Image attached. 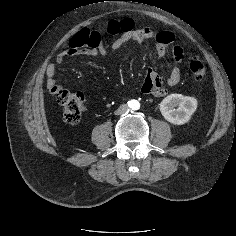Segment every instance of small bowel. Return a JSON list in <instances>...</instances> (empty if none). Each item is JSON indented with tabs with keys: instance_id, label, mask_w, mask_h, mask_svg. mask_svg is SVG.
I'll use <instances>...</instances> for the list:
<instances>
[{
	"instance_id": "obj_1",
	"label": "small bowel",
	"mask_w": 236,
	"mask_h": 236,
	"mask_svg": "<svg viewBox=\"0 0 236 236\" xmlns=\"http://www.w3.org/2000/svg\"><path fill=\"white\" fill-rule=\"evenodd\" d=\"M106 31L115 36L110 45L103 42L102 35L97 30L84 28L77 32L68 42V47L56 56V63L61 64L68 57L73 56H96L98 54L106 56L109 53L120 49L127 42L133 41L139 44L148 40L154 41L155 52L158 56L163 57L169 47H172V55L177 64H181L186 56L185 49L182 45L175 43L174 35L168 31L153 32L150 28H135L131 19L121 21L110 20L106 24ZM57 72L56 64H49L46 68V86L49 92L56 95L62 88L55 79ZM181 70L174 66L167 79V86H175L181 80ZM141 92L148 95L164 96L167 89L163 80L154 71L147 72L142 84Z\"/></svg>"
}]
</instances>
